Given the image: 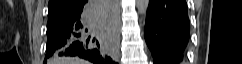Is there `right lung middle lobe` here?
<instances>
[{
  "label": "right lung middle lobe",
  "mask_w": 242,
  "mask_h": 64,
  "mask_svg": "<svg viewBox=\"0 0 242 64\" xmlns=\"http://www.w3.org/2000/svg\"><path fill=\"white\" fill-rule=\"evenodd\" d=\"M78 15V11L74 12H55L48 13L47 31L51 30L55 25L69 21Z\"/></svg>",
  "instance_id": "1"
}]
</instances>
